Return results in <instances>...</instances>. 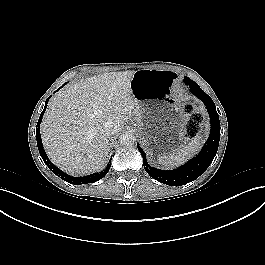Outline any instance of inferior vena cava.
Here are the masks:
<instances>
[{"label": "inferior vena cava", "instance_id": "1", "mask_svg": "<svg viewBox=\"0 0 265 265\" xmlns=\"http://www.w3.org/2000/svg\"><path fill=\"white\" fill-rule=\"evenodd\" d=\"M101 133L107 137L114 135L116 133L115 125L112 121H107L103 123L101 128Z\"/></svg>", "mask_w": 265, "mask_h": 265}]
</instances>
